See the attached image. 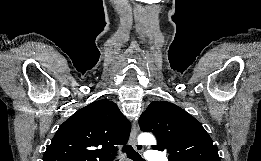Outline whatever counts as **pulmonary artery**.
<instances>
[{
	"instance_id": "obj_1",
	"label": "pulmonary artery",
	"mask_w": 261,
	"mask_h": 161,
	"mask_svg": "<svg viewBox=\"0 0 261 161\" xmlns=\"http://www.w3.org/2000/svg\"><path fill=\"white\" fill-rule=\"evenodd\" d=\"M148 161H168V158L166 156H156L152 153L147 156Z\"/></svg>"
}]
</instances>
